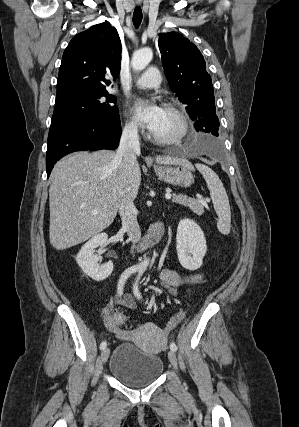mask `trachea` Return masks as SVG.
I'll return each mask as SVG.
<instances>
[{
    "mask_svg": "<svg viewBox=\"0 0 299 427\" xmlns=\"http://www.w3.org/2000/svg\"><path fill=\"white\" fill-rule=\"evenodd\" d=\"M142 21V10L140 7H136L133 13V24L135 28H138Z\"/></svg>",
    "mask_w": 299,
    "mask_h": 427,
    "instance_id": "obj_1",
    "label": "trachea"
}]
</instances>
